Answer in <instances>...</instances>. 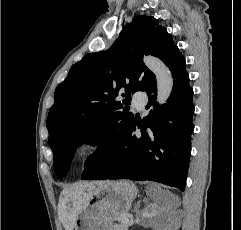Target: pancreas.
Returning a JSON list of instances; mask_svg holds the SVG:
<instances>
[{
  "mask_svg": "<svg viewBox=\"0 0 241 230\" xmlns=\"http://www.w3.org/2000/svg\"><path fill=\"white\" fill-rule=\"evenodd\" d=\"M113 230H128V225L123 223L114 224Z\"/></svg>",
  "mask_w": 241,
  "mask_h": 230,
  "instance_id": "pancreas-1",
  "label": "pancreas"
}]
</instances>
